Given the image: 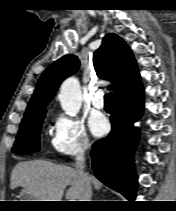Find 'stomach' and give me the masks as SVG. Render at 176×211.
<instances>
[{"label": "stomach", "instance_id": "stomach-1", "mask_svg": "<svg viewBox=\"0 0 176 211\" xmlns=\"http://www.w3.org/2000/svg\"><path fill=\"white\" fill-rule=\"evenodd\" d=\"M20 196L23 200L21 201H38L29 191L26 189H23L20 192Z\"/></svg>", "mask_w": 176, "mask_h": 211}]
</instances>
